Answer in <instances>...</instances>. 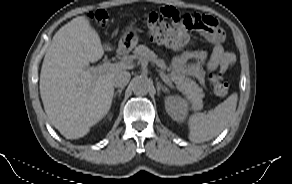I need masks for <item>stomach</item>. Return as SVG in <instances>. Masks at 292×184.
<instances>
[{"mask_svg":"<svg viewBox=\"0 0 292 184\" xmlns=\"http://www.w3.org/2000/svg\"><path fill=\"white\" fill-rule=\"evenodd\" d=\"M139 37L136 31L132 30L131 28H128L122 35L120 41H119V49L125 50V49H132L136 46L138 43Z\"/></svg>","mask_w":292,"mask_h":184,"instance_id":"stomach-1","label":"stomach"}]
</instances>
